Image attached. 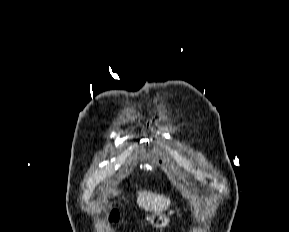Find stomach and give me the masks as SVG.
Instances as JSON below:
<instances>
[{"label":"stomach","mask_w":289,"mask_h":232,"mask_svg":"<svg viewBox=\"0 0 289 232\" xmlns=\"http://www.w3.org/2000/svg\"><path fill=\"white\" fill-rule=\"evenodd\" d=\"M147 220L149 221L150 225L156 229H163L169 224V216L163 212H151L148 215Z\"/></svg>","instance_id":"obj_1"}]
</instances>
